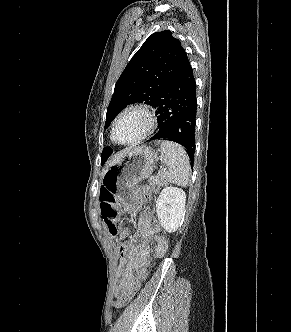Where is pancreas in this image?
<instances>
[{"label": "pancreas", "instance_id": "1", "mask_svg": "<svg viewBox=\"0 0 291 332\" xmlns=\"http://www.w3.org/2000/svg\"><path fill=\"white\" fill-rule=\"evenodd\" d=\"M151 185H155L158 188L166 185V181L163 175L153 176L149 179Z\"/></svg>", "mask_w": 291, "mask_h": 332}]
</instances>
